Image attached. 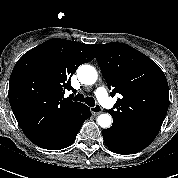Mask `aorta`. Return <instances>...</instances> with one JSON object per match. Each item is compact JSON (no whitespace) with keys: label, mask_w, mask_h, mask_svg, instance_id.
<instances>
[{"label":"aorta","mask_w":178,"mask_h":178,"mask_svg":"<svg viewBox=\"0 0 178 178\" xmlns=\"http://www.w3.org/2000/svg\"><path fill=\"white\" fill-rule=\"evenodd\" d=\"M77 77L82 84L93 85L98 75L93 66L84 64L78 68ZM97 123L102 128H109L112 124V117L109 114H101L97 118Z\"/></svg>","instance_id":"1"}]
</instances>
